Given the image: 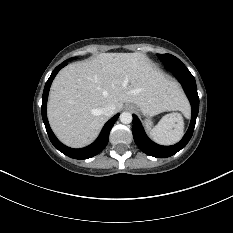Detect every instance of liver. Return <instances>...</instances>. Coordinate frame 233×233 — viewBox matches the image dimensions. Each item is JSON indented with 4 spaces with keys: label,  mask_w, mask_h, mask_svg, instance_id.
Masks as SVG:
<instances>
[{
    "label": "liver",
    "mask_w": 233,
    "mask_h": 233,
    "mask_svg": "<svg viewBox=\"0 0 233 233\" xmlns=\"http://www.w3.org/2000/svg\"><path fill=\"white\" fill-rule=\"evenodd\" d=\"M134 103L148 116L188 108L178 85L136 53H102L62 69L54 79L47 115L56 136L73 148L93 142L108 117L102 108Z\"/></svg>",
    "instance_id": "6515ba94"
}]
</instances>
